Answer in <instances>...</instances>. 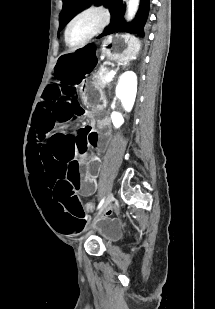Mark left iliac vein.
Wrapping results in <instances>:
<instances>
[{"instance_id": "obj_1", "label": "left iliac vein", "mask_w": 215, "mask_h": 309, "mask_svg": "<svg viewBox=\"0 0 215 309\" xmlns=\"http://www.w3.org/2000/svg\"><path fill=\"white\" fill-rule=\"evenodd\" d=\"M112 200H113V193H110V194L108 195L106 204H105L104 207H103V210L100 211V212L98 213V215L94 218V220H93L91 223H89V224L87 225L86 232L90 229V227H91L94 223L97 222V220L99 219V217H100L101 215L105 214V212L108 210V206L110 205V203H111ZM84 239H85V236H82V237L80 238V240H79V248H78V254H79V255L82 254L81 245H82Z\"/></svg>"}]
</instances>
